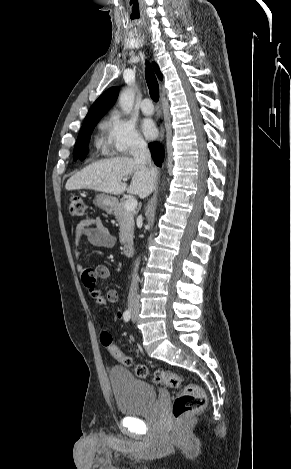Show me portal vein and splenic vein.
<instances>
[{
  "label": "portal vein and splenic vein",
  "mask_w": 291,
  "mask_h": 469,
  "mask_svg": "<svg viewBox=\"0 0 291 469\" xmlns=\"http://www.w3.org/2000/svg\"><path fill=\"white\" fill-rule=\"evenodd\" d=\"M126 180V179H124ZM137 207V200L136 199H128L126 202H125V208L127 211H133L135 210V208Z\"/></svg>",
  "instance_id": "obj_1"
}]
</instances>
